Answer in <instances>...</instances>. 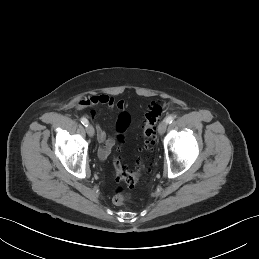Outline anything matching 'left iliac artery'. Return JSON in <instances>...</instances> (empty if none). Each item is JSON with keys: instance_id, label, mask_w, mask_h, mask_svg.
<instances>
[{"instance_id": "1", "label": "left iliac artery", "mask_w": 259, "mask_h": 259, "mask_svg": "<svg viewBox=\"0 0 259 259\" xmlns=\"http://www.w3.org/2000/svg\"><path fill=\"white\" fill-rule=\"evenodd\" d=\"M173 120H174V117H173L172 115H170V116H168V117L166 118V123H167V124H170V123L173 122Z\"/></svg>"}]
</instances>
